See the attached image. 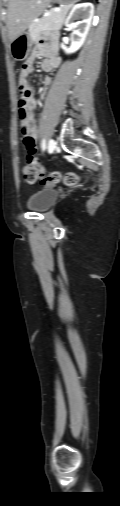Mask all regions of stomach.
Masks as SVG:
<instances>
[{
  "instance_id": "1",
  "label": "stomach",
  "mask_w": 120,
  "mask_h": 506,
  "mask_svg": "<svg viewBox=\"0 0 120 506\" xmlns=\"http://www.w3.org/2000/svg\"><path fill=\"white\" fill-rule=\"evenodd\" d=\"M58 4H62L66 7H71L74 3H76L78 0H51ZM33 45V39L30 36L29 32L24 31L21 33L18 37H16L13 41L10 43V49L11 54L14 60L16 61H23L25 60L30 51L31 47Z\"/></svg>"
}]
</instances>
